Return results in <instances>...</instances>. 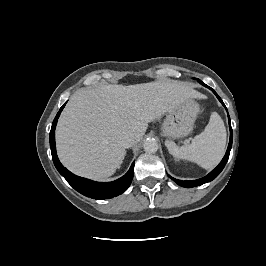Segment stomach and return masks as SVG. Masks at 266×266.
Masks as SVG:
<instances>
[{
    "label": "stomach",
    "instance_id": "stomach-1",
    "mask_svg": "<svg viewBox=\"0 0 266 266\" xmlns=\"http://www.w3.org/2000/svg\"><path fill=\"white\" fill-rule=\"evenodd\" d=\"M200 112L197 102L188 99L172 109L166 115L161 126L164 136L169 139H179L192 133L195 120Z\"/></svg>",
    "mask_w": 266,
    "mask_h": 266
}]
</instances>
